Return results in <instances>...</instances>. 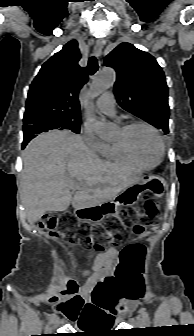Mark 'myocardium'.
<instances>
[{
    "label": "myocardium",
    "mask_w": 194,
    "mask_h": 336,
    "mask_svg": "<svg viewBox=\"0 0 194 336\" xmlns=\"http://www.w3.org/2000/svg\"><path fill=\"white\" fill-rule=\"evenodd\" d=\"M135 127H145L149 129L151 132H153V134L156 136L158 143H159V147H160V157L157 162L153 164L145 163L137 156V154L133 150L130 144V141H129V133ZM121 133H122V136L117 142L124 149V151L137 163L141 164L147 169H151V168L157 167L162 162L164 154H165V144H164L161 134L153 125L147 122H144V121H132V122L125 124L121 128Z\"/></svg>",
    "instance_id": "f54148a6"
}]
</instances>
